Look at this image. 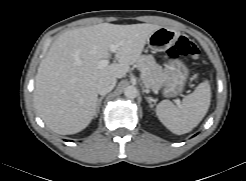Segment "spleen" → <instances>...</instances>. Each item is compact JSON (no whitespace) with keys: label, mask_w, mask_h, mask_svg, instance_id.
Masks as SVG:
<instances>
[{"label":"spleen","mask_w":246,"mask_h":181,"mask_svg":"<svg viewBox=\"0 0 246 181\" xmlns=\"http://www.w3.org/2000/svg\"><path fill=\"white\" fill-rule=\"evenodd\" d=\"M211 101V87L207 80L200 83L193 93L185 96L180 106L169 100L161 101L156 114L171 132L182 135L192 131L206 115Z\"/></svg>","instance_id":"obj_1"}]
</instances>
